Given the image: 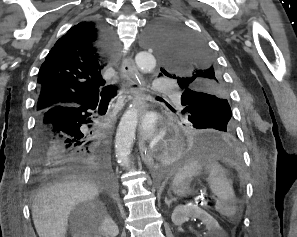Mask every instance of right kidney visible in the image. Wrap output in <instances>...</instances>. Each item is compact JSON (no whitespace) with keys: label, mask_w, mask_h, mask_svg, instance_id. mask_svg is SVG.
I'll list each match as a JSON object with an SVG mask.
<instances>
[{"label":"right kidney","mask_w":297,"mask_h":237,"mask_svg":"<svg viewBox=\"0 0 297 237\" xmlns=\"http://www.w3.org/2000/svg\"><path fill=\"white\" fill-rule=\"evenodd\" d=\"M92 232H98V234L104 237H116L119 234V229L112 218L104 216L102 220L92 224V227L85 231L81 237H92Z\"/></svg>","instance_id":"1"}]
</instances>
